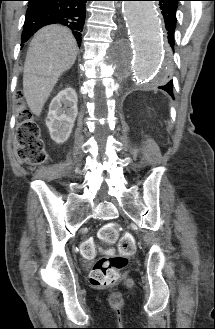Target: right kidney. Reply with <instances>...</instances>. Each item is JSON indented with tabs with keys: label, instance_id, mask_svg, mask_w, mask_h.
Returning <instances> with one entry per match:
<instances>
[{
	"label": "right kidney",
	"instance_id": "obj_1",
	"mask_svg": "<svg viewBox=\"0 0 215 329\" xmlns=\"http://www.w3.org/2000/svg\"><path fill=\"white\" fill-rule=\"evenodd\" d=\"M76 91L68 87L54 97L49 106L46 125L51 138L58 144L69 138L78 114Z\"/></svg>",
	"mask_w": 215,
	"mask_h": 329
}]
</instances>
